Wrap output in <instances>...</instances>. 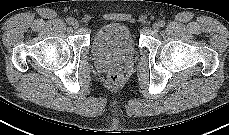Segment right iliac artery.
Here are the masks:
<instances>
[{"mask_svg":"<svg viewBox=\"0 0 229 135\" xmlns=\"http://www.w3.org/2000/svg\"><path fill=\"white\" fill-rule=\"evenodd\" d=\"M67 23L68 24H72L73 23V18H71V17L67 18Z\"/></svg>","mask_w":229,"mask_h":135,"instance_id":"82829eb1","label":"right iliac artery"}]
</instances>
